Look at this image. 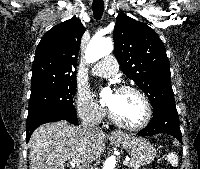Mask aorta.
Here are the masks:
<instances>
[{"label":"aorta","instance_id":"762f6f07","mask_svg":"<svg viewBox=\"0 0 200 169\" xmlns=\"http://www.w3.org/2000/svg\"><path fill=\"white\" fill-rule=\"evenodd\" d=\"M113 50V42L111 38L94 36L87 46L85 52V59L87 63H94L102 57L108 55ZM102 97L105 95V91L100 94ZM116 157L114 155L109 156L103 166V169H114L116 166Z\"/></svg>","mask_w":200,"mask_h":169}]
</instances>
